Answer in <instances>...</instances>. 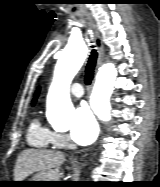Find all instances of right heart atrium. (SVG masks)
I'll list each match as a JSON object with an SVG mask.
<instances>
[{"instance_id":"1","label":"right heart atrium","mask_w":160,"mask_h":187,"mask_svg":"<svg viewBox=\"0 0 160 187\" xmlns=\"http://www.w3.org/2000/svg\"><path fill=\"white\" fill-rule=\"evenodd\" d=\"M53 140L56 147L65 148L70 145L68 137L63 133L53 132Z\"/></svg>"}]
</instances>
